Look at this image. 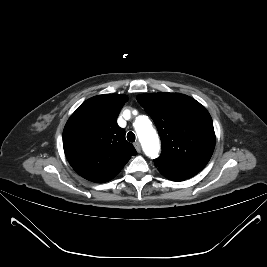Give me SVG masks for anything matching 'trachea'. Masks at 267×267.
I'll list each match as a JSON object with an SVG mask.
<instances>
[{
	"mask_svg": "<svg viewBox=\"0 0 267 267\" xmlns=\"http://www.w3.org/2000/svg\"><path fill=\"white\" fill-rule=\"evenodd\" d=\"M135 139H136L135 134H134L133 132H128V134H127V140H128L129 142H134Z\"/></svg>",
	"mask_w": 267,
	"mask_h": 267,
	"instance_id": "1",
	"label": "trachea"
}]
</instances>
